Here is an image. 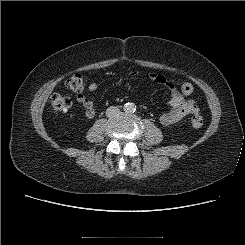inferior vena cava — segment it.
<instances>
[{
  "mask_svg": "<svg viewBox=\"0 0 245 245\" xmlns=\"http://www.w3.org/2000/svg\"><path fill=\"white\" fill-rule=\"evenodd\" d=\"M119 113H120V110L114 106H111V107L107 108V110H106V116L107 117H113Z\"/></svg>",
  "mask_w": 245,
  "mask_h": 245,
  "instance_id": "obj_1",
  "label": "inferior vena cava"
}]
</instances>
